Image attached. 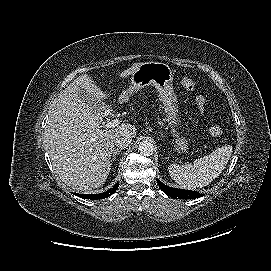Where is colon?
Listing matches in <instances>:
<instances>
[{
    "instance_id": "obj_1",
    "label": "colon",
    "mask_w": 271,
    "mask_h": 271,
    "mask_svg": "<svg viewBox=\"0 0 271 271\" xmlns=\"http://www.w3.org/2000/svg\"><path fill=\"white\" fill-rule=\"evenodd\" d=\"M181 85L185 90L190 91V92L194 91L196 88L195 82L190 78H183L181 81ZM222 132H223V129H222L221 125H219V124H213L209 128V134L212 137H218L222 134Z\"/></svg>"
}]
</instances>
